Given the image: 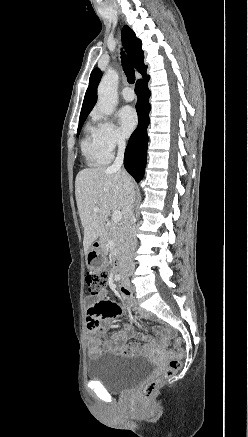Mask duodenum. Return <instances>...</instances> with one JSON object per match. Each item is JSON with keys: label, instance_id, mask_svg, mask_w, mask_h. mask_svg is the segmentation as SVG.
<instances>
[{"label": "duodenum", "instance_id": "1", "mask_svg": "<svg viewBox=\"0 0 248 437\" xmlns=\"http://www.w3.org/2000/svg\"><path fill=\"white\" fill-rule=\"evenodd\" d=\"M93 246H94V247H98V246H99L98 241H95L94 244H93ZM113 265H114V270H115V271H119V270L121 269V265H122L121 258H120V257H117V258L115 259Z\"/></svg>", "mask_w": 248, "mask_h": 437}]
</instances>
